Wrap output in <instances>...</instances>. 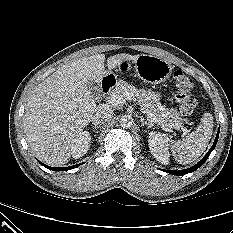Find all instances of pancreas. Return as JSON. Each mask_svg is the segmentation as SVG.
Instances as JSON below:
<instances>
[{
  "instance_id": "cf45deb5",
  "label": "pancreas",
  "mask_w": 233,
  "mask_h": 233,
  "mask_svg": "<svg viewBox=\"0 0 233 233\" xmlns=\"http://www.w3.org/2000/svg\"><path fill=\"white\" fill-rule=\"evenodd\" d=\"M124 92L130 93L134 100L137 101L141 108L145 111L147 116L153 115L158 120H161L166 126L169 124H180L184 123V120L180 117L179 112L175 109H168L158 102L159 96L151 90L138 89L135 86L128 84L124 80H120L115 88L110 92L112 95H123ZM108 97V98H109Z\"/></svg>"
}]
</instances>
